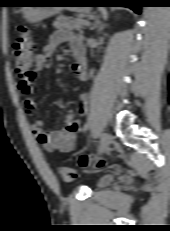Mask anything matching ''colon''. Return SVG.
<instances>
[{"mask_svg": "<svg viewBox=\"0 0 170 231\" xmlns=\"http://www.w3.org/2000/svg\"><path fill=\"white\" fill-rule=\"evenodd\" d=\"M18 37L13 44V60L15 72L20 81H30L36 76L35 62H33V43L31 31L24 23L17 28ZM93 161V157L87 155L81 156L79 163L81 166H86ZM104 164L103 159H96L95 165L101 167ZM58 176L64 181H72L75 178L73 169L60 166L57 168Z\"/></svg>", "mask_w": 170, "mask_h": 231, "instance_id": "colon-1", "label": "colon"}]
</instances>
